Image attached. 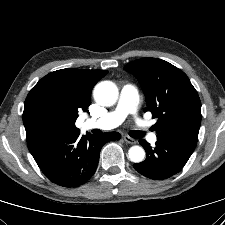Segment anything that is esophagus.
Wrapping results in <instances>:
<instances>
[{"mask_svg":"<svg viewBox=\"0 0 225 225\" xmlns=\"http://www.w3.org/2000/svg\"><path fill=\"white\" fill-rule=\"evenodd\" d=\"M123 139H124V141H125L126 143H129V144H136V140L133 139V138H131V137H129V136H124Z\"/></svg>","mask_w":225,"mask_h":225,"instance_id":"34e87169","label":"esophagus"}]
</instances>
